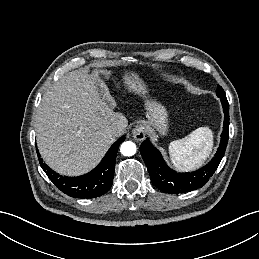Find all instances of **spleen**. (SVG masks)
<instances>
[{"mask_svg":"<svg viewBox=\"0 0 259 259\" xmlns=\"http://www.w3.org/2000/svg\"><path fill=\"white\" fill-rule=\"evenodd\" d=\"M213 147V132L209 127H199L188 136L169 144L173 166L181 171L198 168L209 157Z\"/></svg>","mask_w":259,"mask_h":259,"instance_id":"spleen-1","label":"spleen"}]
</instances>
